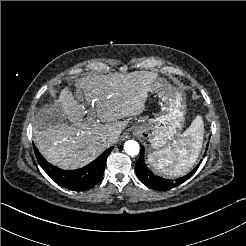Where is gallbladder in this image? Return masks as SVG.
Wrapping results in <instances>:
<instances>
[{
  "instance_id": "1",
  "label": "gallbladder",
  "mask_w": 246,
  "mask_h": 246,
  "mask_svg": "<svg viewBox=\"0 0 246 246\" xmlns=\"http://www.w3.org/2000/svg\"><path fill=\"white\" fill-rule=\"evenodd\" d=\"M58 109V106L45 105L39 111L48 120L54 121L55 119L57 122L65 121L66 117L61 112H58Z\"/></svg>"
}]
</instances>
